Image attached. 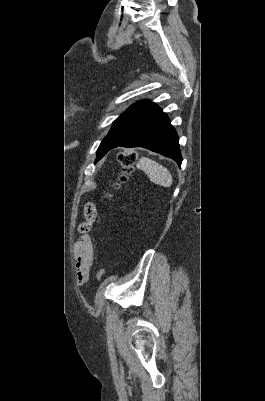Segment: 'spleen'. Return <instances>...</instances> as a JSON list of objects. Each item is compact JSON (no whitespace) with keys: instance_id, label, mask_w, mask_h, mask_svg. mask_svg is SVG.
I'll return each instance as SVG.
<instances>
[{"instance_id":"1","label":"spleen","mask_w":265,"mask_h":401,"mask_svg":"<svg viewBox=\"0 0 265 401\" xmlns=\"http://www.w3.org/2000/svg\"><path fill=\"white\" fill-rule=\"evenodd\" d=\"M137 168L144 170L150 180L155 182V184L171 186L173 182L172 174L165 166H162L159 162H155V160H151V158H146V156L139 158Z\"/></svg>"}]
</instances>
